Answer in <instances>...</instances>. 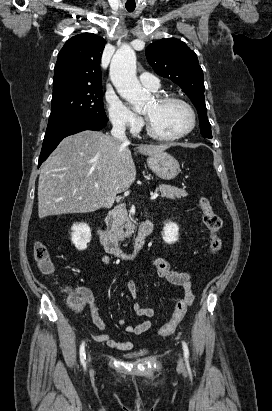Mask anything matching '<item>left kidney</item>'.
I'll return each mask as SVG.
<instances>
[{
    "label": "left kidney",
    "instance_id": "1",
    "mask_svg": "<svg viewBox=\"0 0 272 411\" xmlns=\"http://www.w3.org/2000/svg\"><path fill=\"white\" fill-rule=\"evenodd\" d=\"M163 240L167 244H173L178 240L179 227L176 223L168 222L165 224L162 232Z\"/></svg>",
    "mask_w": 272,
    "mask_h": 411
}]
</instances>
